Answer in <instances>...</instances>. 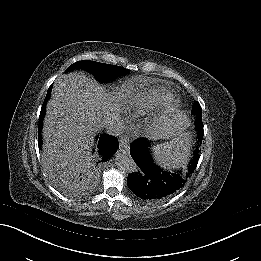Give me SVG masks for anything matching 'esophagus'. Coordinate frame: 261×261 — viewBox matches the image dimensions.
Segmentation results:
<instances>
[{
	"instance_id": "34e87169",
	"label": "esophagus",
	"mask_w": 261,
	"mask_h": 261,
	"mask_svg": "<svg viewBox=\"0 0 261 261\" xmlns=\"http://www.w3.org/2000/svg\"><path fill=\"white\" fill-rule=\"evenodd\" d=\"M119 151L123 154H128L129 152V137L127 135H123L119 140Z\"/></svg>"
}]
</instances>
